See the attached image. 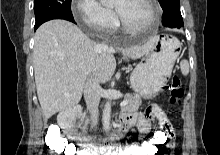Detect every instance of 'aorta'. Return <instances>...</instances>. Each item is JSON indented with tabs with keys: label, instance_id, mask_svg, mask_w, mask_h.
Masks as SVG:
<instances>
[{
	"label": "aorta",
	"instance_id": "obj_1",
	"mask_svg": "<svg viewBox=\"0 0 220 155\" xmlns=\"http://www.w3.org/2000/svg\"><path fill=\"white\" fill-rule=\"evenodd\" d=\"M100 1L104 5H109L114 2V0H100ZM110 118H111V103L110 101H108L103 111V127L106 131L110 129Z\"/></svg>",
	"mask_w": 220,
	"mask_h": 155
}]
</instances>
